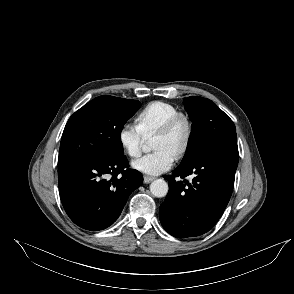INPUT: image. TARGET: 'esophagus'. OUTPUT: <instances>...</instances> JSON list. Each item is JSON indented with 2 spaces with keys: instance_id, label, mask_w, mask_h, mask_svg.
<instances>
[{
  "instance_id": "34e87169",
  "label": "esophagus",
  "mask_w": 294,
  "mask_h": 294,
  "mask_svg": "<svg viewBox=\"0 0 294 294\" xmlns=\"http://www.w3.org/2000/svg\"><path fill=\"white\" fill-rule=\"evenodd\" d=\"M154 179H155V177L144 176V183L148 184V183L152 182Z\"/></svg>"
}]
</instances>
